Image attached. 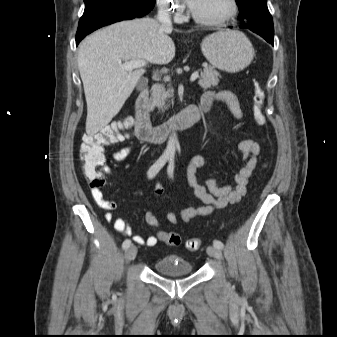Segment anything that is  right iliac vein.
<instances>
[{"label": "right iliac vein", "mask_w": 337, "mask_h": 337, "mask_svg": "<svg viewBox=\"0 0 337 337\" xmlns=\"http://www.w3.org/2000/svg\"><path fill=\"white\" fill-rule=\"evenodd\" d=\"M136 254H137V248L134 245L127 248L126 251H125L126 262L128 263V262L134 260L135 257H136Z\"/></svg>", "instance_id": "1"}]
</instances>
